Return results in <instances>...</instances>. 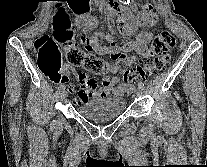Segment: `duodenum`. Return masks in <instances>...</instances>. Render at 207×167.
<instances>
[{"mask_svg": "<svg viewBox=\"0 0 207 167\" xmlns=\"http://www.w3.org/2000/svg\"><path fill=\"white\" fill-rule=\"evenodd\" d=\"M107 6L113 10L118 9V0H107ZM122 15H131V13L123 12Z\"/></svg>", "mask_w": 207, "mask_h": 167, "instance_id": "1", "label": "duodenum"}]
</instances>
